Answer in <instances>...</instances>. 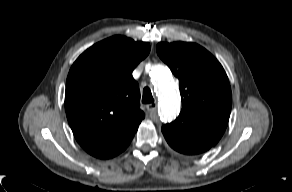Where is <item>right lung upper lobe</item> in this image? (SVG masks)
I'll return each instance as SVG.
<instances>
[{
    "label": "right lung upper lobe",
    "mask_w": 292,
    "mask_h": 192,
    "mask_svg": "<svg viewBox=\"0 0 292 192\" xmlns=\"http://www.w3.org/2000/svg\"><path fill=\"white\" fill-rule=\"evenodd\" d=\"M149 52V43L113 36L74 62L66 82L65 109L81 146L114 144L135 134L145 115L132 71Z\"/></svg>",
    "instance_id": "right-lung-upper-lobe-1"
}]
</instances>
